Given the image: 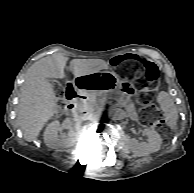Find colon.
<instances>
[{
	"mask_svg": "<svg viewBox=\"0 0 194 193\" xmlns=\"http://www.w3.org/2000/svg\"><path fill=\"white\" fill-rule=\"evenodd\" d=\"M113 65L118 68L123 77L134 76L142 69L144 82V93L141 97V104L144 109L143 121L146 125L157 126L160 128L164 136H168L169 129L151 99V93L157 87L159 82L158 67L152 62L143 61L135 57H118L114 59ZM57 92L59 95L62 94L60 88L57 89Z\"/></svg>",
	"mask_w": 194,
	"mask_h": 193,
	"instance_id": "colon-1",
	"label": "colon"
}]
</instances>
